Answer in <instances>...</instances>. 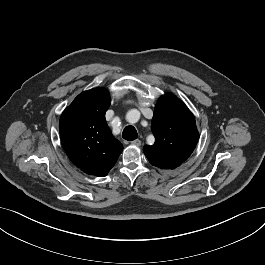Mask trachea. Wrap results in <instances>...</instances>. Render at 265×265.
<instances>
[{
	"instance_id": "3493384b",
	"label": "trachea",
	"mask_w": 265,
	"mask_h": 265,
	"mask_svg": "<svg viewBox=\"0 0 265 265\" xmlns=\"http://www.w3.org/2000/svg\"><path fill=\"white\" fill-rule=\"evenodd\" d=\"M122 137L128 141H133L138 137V134L133 126H126L123 130Z\"/></svg>"
}]
</instances>
